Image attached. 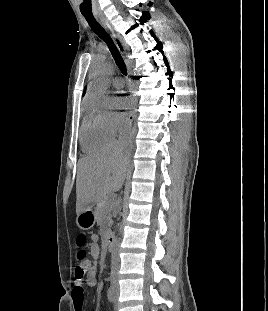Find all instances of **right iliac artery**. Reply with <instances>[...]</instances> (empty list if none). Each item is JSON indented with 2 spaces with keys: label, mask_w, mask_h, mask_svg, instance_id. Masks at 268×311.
<instances>
[{
  "label": "right iliac artery",
  "mask_w": 268,
  "mask_h": 311,
  "mask_svg": "<svg viewBox=\"0 0 268 311\" xmlns=\"http://www.w3.org/2000/svg\"><path fill=\"white\" fill-rule=\"evenodd\" d=\"M107 296H108L109 302L113 303L114 302V287L112 285L108 288Z\"/></svg>",
  "instance_id": "1"
}]
</instances>
